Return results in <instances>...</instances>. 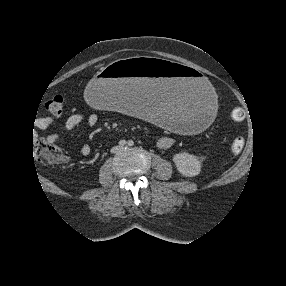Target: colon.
<instances>
[{
	"instance_id": "5ec220e1",
	"label": "colon",
	"mask_w": 286,
	"mask_h": 286,
	"mask_svg": "<svg viewBox=\"0 0 286 286\" xmlns=\"http://www.w3.org/2000/svg\"><path fill=\"white\" fill-rule=\"evenodd\" d=\"M65 99L62 95H56L49 99L45 107L53 115H60L63 112ZM231 120L233 122H242L246 113L242 108L236 107L231 111ZM244 147V140L241 137L235 138L231 143V151L234 154H238ZM35 151L37 157L48 163H57L63 159L61 150L55 145L53 140L49 138L39 139L35 144Z\"/></svg>"
}]
</instances>
